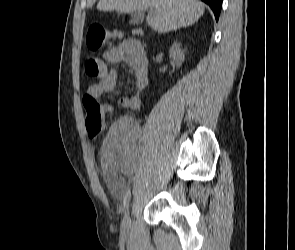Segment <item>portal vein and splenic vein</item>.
<instances>
[{
	"label": "portal vein and splenic vein",
	"instance_id": "1",
	"mask_svg": "<svg viewBox=\"0 0 295 250\" xmlns=\"http://www.w3.org/2000/svg\"><path fill=\"white\" fill-rule=\"evenodd\" d=\"M149 12H150V13H152V12H153V9H152V8H150V9H149Z\"/></svg>",
	"mask_w": 295,
	"mask_h": 250
}]
</instances>
